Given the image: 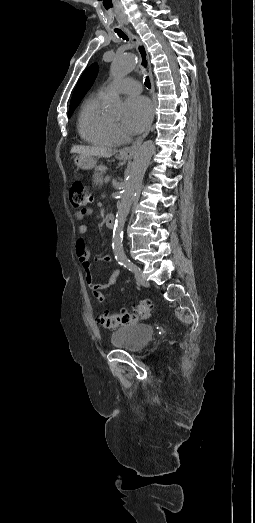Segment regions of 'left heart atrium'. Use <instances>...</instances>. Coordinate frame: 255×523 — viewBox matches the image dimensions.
Returning a JSON list of instances; mask_svg holds the SVG:
<instances>
[{"label":"left heart atrium","mask_w":255,"mask_h":523,"mask_svg":"<svg viewBox=\"0 0 255 523\" xmlns=\"http://www.w3.org/2000/svg\"><path fill=\"white\" fill-rule=\"evenodd\" d=\"M153 116V107L151 101L143 96L136 99L129 98L124 105L123 121L126 128L137 133L143 130Z\"/></svg>","instance_id":"1"}]
</instances>
